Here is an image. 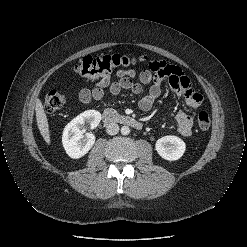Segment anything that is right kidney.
Wrapping results in <instances>:
<instances>
[{"label":"right kidney","instance_id":"right-kidney-1","mask_svg":"<svg viewBox=\"0 0 247 247\" xmlns=\"http://www.w3.org/2000/svg\"><path fill=\"white\" fill-rule=\"evenodd\" d=\"M100 121L101 114L98 111L87 110L65 126L62 143L69 157L79 159L88 153L95 143V136L92 133L84 134L85 131L81 129L85 123H88L91 129H94Z\"/></svg>","mask_w":247,"mask_h":247}]
</instances>
